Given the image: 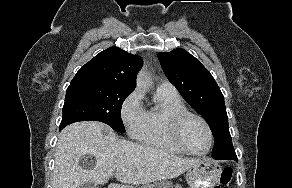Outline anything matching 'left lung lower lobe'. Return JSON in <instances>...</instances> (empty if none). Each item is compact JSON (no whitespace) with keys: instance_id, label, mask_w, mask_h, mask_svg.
Here are the masks:
<instances>
[{"instance_id":"left-lung-lower-lobe-1","label":"left lung lower lobe","mask_w":292,"mask_h":188,"mask_svg":"<svg viewBox=\"0 0 292 188\" xmlns=\"http://www.w3.org/2000/svg\"><path fill=\"white\" fill-rule=\"evenodd\" d=\"M223 158H224V159H233V160H235V161H238V160H237V156H236L235 153H231V154H229V155H226V156H224Z\"/></svg>"}]
</instances>
